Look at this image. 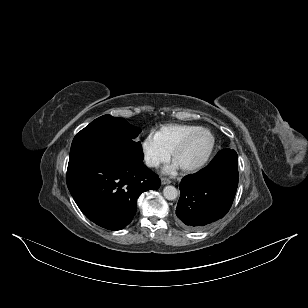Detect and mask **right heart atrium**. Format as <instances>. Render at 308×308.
I'll list each match as a JSON object with an SVG mask.
<instances>
[{
  "mask_svg": "<svg viewBox=\"0 0 308 308\" xmlns=\"http://www.w3.org/2000/svg\"><path fill=\"white\" fill-rule=\"evenodd\" d=\"M142 158L150 168H157L166 163L170 153L156 140L154 135L146 136L140 144Z\"/></svg>",
  "mask_w": 308,
  "mask_h": 308,
  "instance_id": "d8ad5b80",
  "label": "right heart atrium"
}]
</instances>
